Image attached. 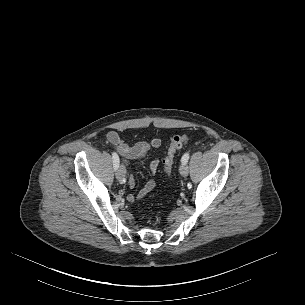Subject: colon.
<instances>
[{
  "label": "colon",
  "mask_w": 305,
  "mask_h": 305,
  "mask_svg": "<svg viewBox=\"0 0 305 305\" xmlns=\"http://www.w3.org/2000/svg\"><path fill=\"white\" fill-rule=\"evenodd\" d=\"M189 141L186 135H175L171 138V142L167 151V155L163 161L166 173L170 174L174 165L176 152L181 149Z\"/></svg>",
  "instance_id": "5ec220e1"
}]
</instances>
